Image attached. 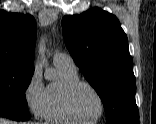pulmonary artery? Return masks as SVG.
I'll list each match as a JSON object with an SVG mask.
<instances>
[{
    "label": "pulmonary artery",
    "mask_w": 156,
    "mask_h": 124,
    "mask_svg": "<svg viewBox=\"0 0 156 124\" xmlns=\"http://www.w3.org/2000/svg\"><path fill=\"white\" fill-rule=\"evenodd\" d=\"M53 62L55 65H63L72 68L75 67V63L72 57L69 54L63 52L55 53L53 56Z\"/></svg>",
    "instance_id": "e3ab8cb5"
}]
</instances>
